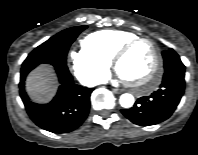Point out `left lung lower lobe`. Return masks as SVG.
<instances>
[{"label": "left lung lower lobe", "instance_id": "obj_1", "mask_svg": "<svg viewBox=\"0 0 198 155\" xmlns=\"http://www.w3.org/2000/svg\"><path fill=\"white\" fill-rule=\"evenodd\" d=\"M185 67L174 66L165 71L159 89L139 98L123 115L140 126L155 125L168 119L175 111L185 89Z\"/></svg>", "mask_w": 198, "mask_h": 155}]
</instances>
